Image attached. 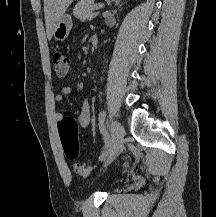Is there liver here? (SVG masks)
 I'll return each mask as SVG.
<instances>
[{"label": "liver", "instance_id": "1", "mask_svg": "<svg viewBox=\"0 0 216 217\" xmlns=\"http://www.w3.org/2000/svg\"><path fill=\"white\" fill-rule=\"evenodd\" d=\"M74 0H43L47 37L51 39L53 31Z\"/></svg>", "mask_w": 216, "mask_h": 217}]
</instances>
